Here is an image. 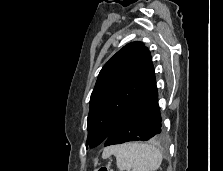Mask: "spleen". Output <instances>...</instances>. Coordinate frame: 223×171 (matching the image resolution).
I'll list each match as a JSON object with an SVG mask.
<instances>
[{"label": "spleen", "instance_id": "obj_1", "mask_svg": "<svg viewBox=\"0 0 223 171\" xmlns=\"http://www.w3.org/2000/svg\"><path fill=\"white\" fill-rule=\"evenodd\" d=\"M120 171H156L163 155L158 148L144 143H127L112 147Z\"/></svg>", "mask_w": 223, "mask_h": 171}]
</instances>
